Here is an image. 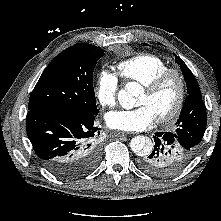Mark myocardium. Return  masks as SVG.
<instances>
[{
    "label": "myocardium",
    "mask_w": 221,
    "mask_h": 221,
    "mask_svg": "<svg viewBox=\"0 0 221 221\" xmlns=\"http://www.w3.org/2000/svg\"><path fill=\"white\" fill-rule=\"evenodd\" d=\"M176 78L178 82V96L173 107L165 114L156 117L159 123H167L178 116L181 112L187 96V84L183 73L177 68H167L151 81L143 85V89L149 93H156L170 78Z\"/></svg>",
    "instance_id": "1"
}]
</instances>
